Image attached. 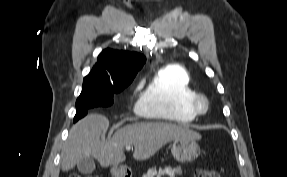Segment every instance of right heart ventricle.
<instances>
[{"label":"right heart ventricle","instance_id":"right-heart-ventricle-1","mask_svg":"<svg viewBox=\"0 0 287 177\" xmlns=\"http://www.w3.org/2000/svg\"><path fill=\"white\" fill-rule=\"evenodd\" d=\"M195 94L188 71L178 65L167 66L149 81L137 111L149 120L190 123L196 117L192 106Z\"/></svg>","mask_w":287,"mask_h":177}]
</instances>
